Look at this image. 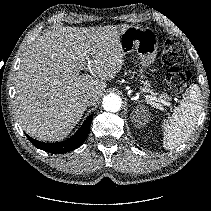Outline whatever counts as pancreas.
Wrapping results in <instances>:
<instances>
[{
  "label": "pancreas",
  "mask_w": 211,
  "mask_h": 211,
  "mask_svg": "<svg viewBox=\"0 0 211 211\" xmlns=\"http://www.w3.org/2000/svg\"><path fill=\"white\" fill-rule=\"evenodd\" d=\"M148 86H149V84L145 83V88L143 89V92H147V93H151L152 95H155L156 93H154L150 88H148ZM159 97H160V99H162L164 101H167L170 99L165 93L159 95Z\"/></svg>",
  "instance_id": "cf45deb5"
}]
</instances>
